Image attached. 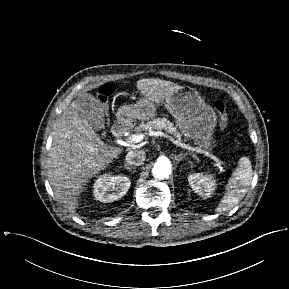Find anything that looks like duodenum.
<instances>
[{"instance_id":"410a0bca","label":"duodenum","mask_w":289,"mask_h":289,"mask_svg":"<svg viewBox=\"0 0 289 289\" xmlns=\"http://www.w3.org/2000/svg\"><path fill=\"white\" fill-rule=\"evenodd\" d=\"M131 127V122L128 119H118L112 127V132L116 137H122Z\"/></svg>"}]
</instances>
